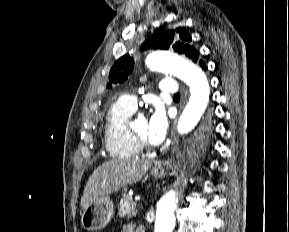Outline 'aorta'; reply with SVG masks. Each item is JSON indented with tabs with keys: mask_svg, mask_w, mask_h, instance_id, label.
Segmentation results:
<instances>
[{
	"mask_svg": "<svg viewBox=\"0 0 289 232\" xmlns=\"http://www.w3.org/2000/svg\"><path fill=\"white\" fill-rule=\"evenodd\" d=\"M147 66L155 71L170 73L183 80L190 88L191 96L177 125L180 134H186L200 121L210 96V85L204 72L193 63L176 58L166 52L156 51L146 59ZM175 192H168L157 204L155 232H172L175 227Z\"/></svg>",
	"mask_w": 289,
	"mask_h": 232,
	"instance_id": "762f6f07",
	"label": "aorta"
}]
</instances>
